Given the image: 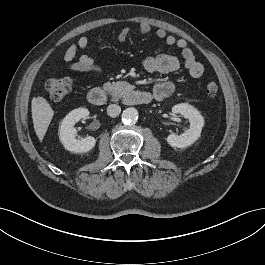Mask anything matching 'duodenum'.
<instances>
[{"instance_id": "410a0bca", "label": "duodenum", "mask_w": 265, "mask_h": 265, "mask_svg": "<svg viewBox=\"0 0 265 265\" xmlns=\"http://www.w3.org/2000/svg\"><path fill=\"white\" fill-rule=\"evenodd\" d=\"M87 99L94 106H102L107 102V94L101 88H92L87 94ZM152 100V94L139 89H130L124 96V102L129 105H147Z\"/></svg>"}]
</instances>
